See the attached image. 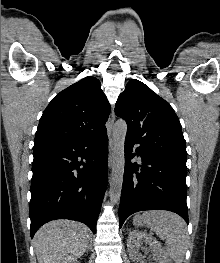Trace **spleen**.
Returning <instances> with one entry per match:
<instances>
[{
	"mask_svg": "<svg viewBox=\"0 0 220 263\" xmlns=\"http://www.w3.org/2000/svg\"><path fill=\"white\" fill-rule=\"evenodd\" d=\"M142 219L156 235L165 240L168 257L182 263L189 241L185 221L175 213L156 210L142 214Z\"/></svg>",
	"mask_w": 220,
	"mask_h": 263,
	"instance_id": "spleen-1",
	"label": "spleen"
}]
</instances>
